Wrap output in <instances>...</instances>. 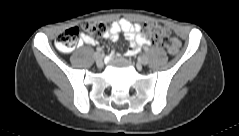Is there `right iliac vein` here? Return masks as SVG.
Returning a JSON list of instances; mask_svg holds the SVG:
<instances>
[{
    "mask_svg": "<svg viewBox=\"0 0 239 136\" xmlns=\"http://www.w3.org/2000/svg\"><path fill=\"white\" fill-rule=\"evenodd\" d=\"M96 64L98 67H101L103 65V54L100 52H96L94 55Z\"/></svg>",
    "mask_w": 239,
    "mask_h": 136,
    "instance_id": "1",
    "label": "right iliac vein"
}]
</instances>
